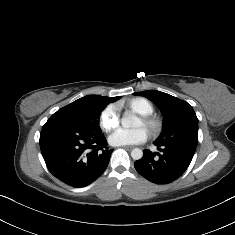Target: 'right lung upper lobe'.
<instances>
[{
	"instance_id": "right-lung-upper-lobe-1",
	"label": "right lung upper lobe",
	"mask_w": 235,
	"mask_h": 235,
	"mask_svg": "<svg viewBox=\"0 0 235 235\" xmlns=\"http://www.w3.org/2000/svg\"><path fill=\"white\" fill-rule=\"evenodd\" d=\"M83 101L87 103V105L94 110H103L107 104L110 102H114L119 99L118 97H103L100 95H88L81 98Z\"/></svg>"
}]
</instances>
